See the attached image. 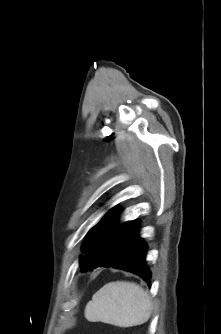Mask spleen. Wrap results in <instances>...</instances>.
Here are the masks:
<instances>
[{
    "instance_id": "spleen-1",
    "label": "spleen",
    "mask_w": 221,
    "mask_h": 334,
    "mask_svg": "<svg viewBox=\"0 0 221 334\" xmlns=\"http://www.w3.org/2000/svg\"><path fill=\"white\" fill-rule=\"evenodd\" d=\"M153 304L149 294L138 284L116 281L105 284L89 301L85 317L118 327H133L148 321Z\"/></svg>"
}]
</instances>
